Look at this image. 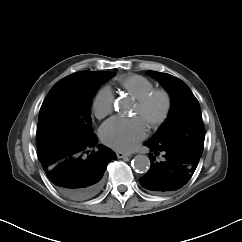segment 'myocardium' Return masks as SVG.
<instances>
[{
	"instance_id": "obj_1",
	"label": "myocardium",
	"mask_w": 242,
	"mask_h": 242,
	"mask_svg": "<svg viewBox=\"0 0 242 242\" xmlns=\"http://www.w3.org/2000/svg\"><path fill=\"white\" fill-rule=\"evenodd\" d=\"M159 96L163 97V99L165 101V109H164L163 114L159 118L153 120L148 125V128L152 129V130H156V129L162 127L170 119L172 112H173V107H174L173 98H172L171 93L168 90L163 89V88L153 89L150 92H148L147 94L138 98L135 102L140 107H143V106H146L147 104H149L154 98L159 97Z\"/></svg>"
}]
</instances>
